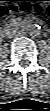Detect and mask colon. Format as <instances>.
<instances>
[{
  "instance_id": "colon-1",
  "label": "colon",
  "mask_w": 50,
  "mask_h": 111,
  "mask_svg": "<svg viewBox=\"0 0 50 111\" xmlns=\"http://www.w3.org/2000/svg\"><path fill=\"white\" fill-rule=\"evenodd\" d=\"M37 2H32V0H21L16 4H11L9 6H5L1 9V16L6 17L9 14L15 12H26L30 9L43 12L48 14L50 12V8L45 4L42 3V0H36Z\"/></svg>"
}]
</instances>
